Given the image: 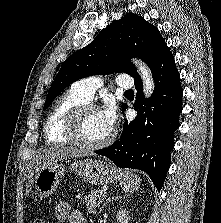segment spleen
Here are the masks:
<instances>
[{"label":"spleen","instance_id":"spleen-1","mask_svg":"<svg viewBox=\"0 0 221 223\" xmlns=\"http://www.w3.org/2000/svg\"><path fill=\"white\" fill-rule=\"evenodd\" d=\"M117 174L120 184L126 192H134L141 183L140 178L130 170H118Z\"/></svg>","mask_w":221,"mask_h":223}]
</instances>
